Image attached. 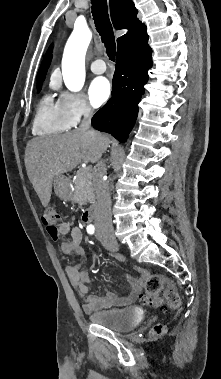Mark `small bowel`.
<instances>
[{
    "mask_svg": "<svg viewBox=\"0 0 221 379\" xmlns=\"http://www.w3.org/2000/svg\"><path fill=\"white\" fill-rule=\"evenodd\" d=\"M53 240H58L67 235L70 239L63 240L61 244L62 252L66 255H73L79 260L87 261V256L81 247L82 231L69 222H61L56 229L55 234L48 232ZM123 261V259H121ZM139 273V278H133L129 275L126 280L129 286L128 293L125 296H118L109 288H104V296L97 297L89 294V284L91 283V272L89 270H82L79 265L68 264L65 266V272L71 285L77 290L83 298V310L86 313H91L96 309L120 308L132 304L137 298L141 296L144 279L147 276L146 270L142 268H135Z\"/></svg>",
    "mask_w": 221,
    "mask_h": 379,
    "instance_id": "c3829d8e",
    "label": "small bowel"
}]
</instances>
